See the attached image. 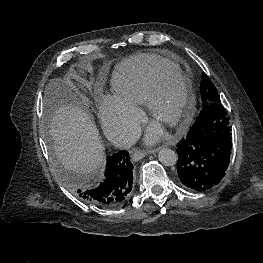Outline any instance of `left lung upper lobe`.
Listing matches in <instances>:
<instances>
[{
	"instance_id": "obj_1",
	"label": "left lung upper lobe",
	"mask_w": 263,
	"mask_h": 263,
	"mask_svg": "<svg viewBox=\"0 0 263 263\" xmlns=\"http://www.w3.org/2000/svg\"><path fill=\"white\" fill-rule=\"evenodd\" d=\"M201 99L205 102V106L211 103H220V96L214 84L210 81L208 76L203 73L200 85Z\"/></svg>"
}]
</instances>
